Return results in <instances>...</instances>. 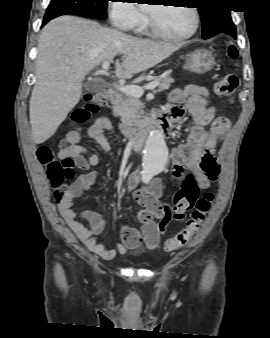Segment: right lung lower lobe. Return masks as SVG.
Here are the masks:
<instances>
[{
  "instance_id": "98d812e1",
  "label": "right lung lower lobe",
  "mask_w": 270,
  "mask_h": 338,
  "mask_svg": "<svg viewBox=\"0 0 270 338\" xmlns=\"http://www.w3.org/2000/svg\"><path fill=\"white\" fill-rule=\"evenodd\" d=\"M59 15H52V16H45L44 17V20H43V23H42V26H44L47 22H49L51 19H54L56 17H58Z\"/></svg>"
}]
</instances>
